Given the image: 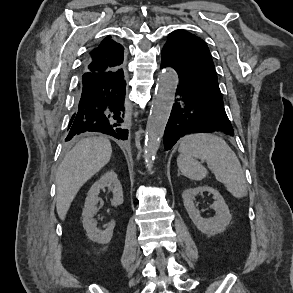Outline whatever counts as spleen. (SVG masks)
<instances>
[{
  "instance_id": "obj_1",
  "label": "spleen",
  "mask_w": 293,
  "mask_h": 293,
  "mask_svg": "<svg viewBox=\"0 0 293 293\" xmlns=\"http://www.w3.org/2000/svg\"><path fill=\"white\" fill-rule=\"evenodd\" d=\"M177 165L181 173L191 180H202L207 174L197 159L205 160L216 180L223 183L236 198L247 195L245 176L241 164L230 146L214 134L198 133L181 139Z\"/></svg>"
}]
</instances>
